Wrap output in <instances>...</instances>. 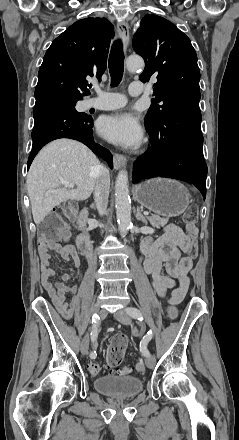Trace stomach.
<instances>
[{"mask_svg":"<svg viewBox=\"0 0 239 440\" xmlns=\"http://www.w3.org/2000/svg\"><path fill=\"white\" fill-rule=\"evenodd\" d=\"M133 196L141 206H145L158 216H180L190 204V194L177 180L153 178L133 188Z\"/></svg>","mask_w":239,"mask_h":440,"instance_id":"obj_1","label":"stomach"}]
</instances>
